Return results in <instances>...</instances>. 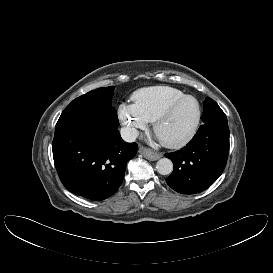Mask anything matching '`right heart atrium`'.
<instances>
[{
    "mask_svg": "<svg viewBox=\"0 0 273 273\" xmlns=\"http://www.w3.org/2000/svg\"><path fill=\"white\" fill-rule=\"evenodd\" d=\"M118 118L124 126L125 135L134 139L140 130H144L148 121L139 113L132 104L122 103L118 107Z\"/></svg>",
    "mask_w": 273,
    "mask_h": 273,
    "instance_id": "right-heart-atrium-1",
    "label": "right heart atrium"
}]
</instances>
